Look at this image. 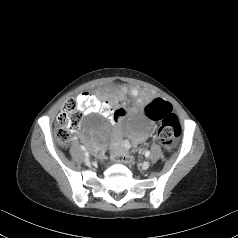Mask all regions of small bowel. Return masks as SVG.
Segmentation results:
<instances>
[{
	"instance_id": "obj_1",
	"label": "small bowel",
	"mask_w": 238,
	"mask_h": 238,
	"mask_svg": "<svg viewBox=\"0 0 238 238\" xmlns=\"http://www.w3.org/2000/svg\"><path fill=\"white\" fill-rule=\"evenodd\" d=\"M76 101L79 105L80 110L84 115H90L93 113H101L107 117L111 113V104L108 101L99 99L95 94L89 92H82L77 95ZM144 139L143 136L136 137L132 141L128 139H122L118 147L128 149L132 143L136 144Z\"/></svg>"
}]
</instances>
